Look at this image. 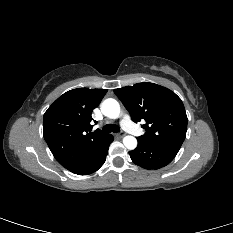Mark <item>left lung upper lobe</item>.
<instances>
[{
	"mask_svg": "<svg viewBox=\"0 0 233 233\" xmlns=\"http://www.w3.org/2000/svg\"><path fill=\"white\" fill-rule=\"evenodd\" d=\"M114 93L134 122L145 121V134L138 139L150 143L182 145L187 131V115L181 99L160 85L142 82L115 89Z\"/></svg>",
	"mask_w": 233,
	"mask_h": 233,
	"instance_id": "5c2ea615",
	"label": "left lung upper lobe"
}]
</instances>
